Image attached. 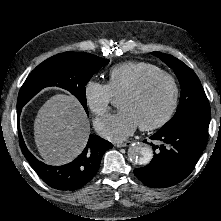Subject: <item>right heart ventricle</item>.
I'll list each match as a JSON object with an SVG mask.
<instances>
[{
    "label": "right heart ventricle",
    "mask_w": 221,
    "mask_h": 221,
    "mask_svg": "<svg viewBox=\"0 0 221 221\" xmlns=\"http://www.w3.org/2000/svg\"><path fill=\"white\" fill-rule=\"evenodd\" d=\"M161 71V69L149 62L127 61L114 65L108 72V82L113 96L121 95L145 76Z\"/></svg>",
    "instance_id": "1"
}]
</instances>
